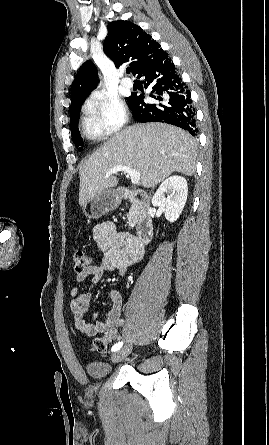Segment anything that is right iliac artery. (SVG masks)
<instances>
[{
    "label": "right iliac artery",
    "instance_id": "right-iliac-artery-1",
    "mask_svg": "<svg viewBox=\"0 0 269 445\" xmlns=\"http://www.w3.org/2000/svg\"><path fill=\"white\" fill-rule=\"evenodd\" d=\"M122 345H123V342H118V343L113 345L111 350L112 351H117V350H119L122 347Z\"/></svg>",
    "mask_w": 269,
    "mask_h": 445
}]
</instances>
